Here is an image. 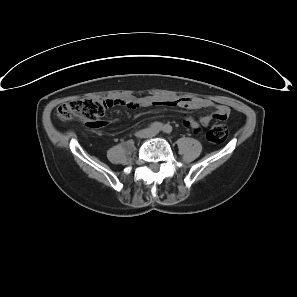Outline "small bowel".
Here are the masks:
<instances>
[{"mask_svg":"<svg viewBox=\"0 0 297 297\" xmlns=\"http://www.w3.org/2000/svg\"><path fill=\"white\" fill-rule=\"evenodd\" d=\"M111 106H125L131 109L139 107H149V106H167V107H179L186 110H198L203 108H215V111L201 117L200 121L197 122L191 118L185 120L184 124L192 129L199 130L200 126H208L212 120H226L230 115V108L226 105L215 104L211 100L203 98H168V99H158L153 97H126V98H116L109 100ZM85 126L87 128H94L95 130H106L108 128V122L106 120L97 121L96 119H87L85 121Z\"/></svg>","mask_w":297,"mask_h":297,"instance_id":"small-bowel-1","label":"small bowel"}]
</instances>
